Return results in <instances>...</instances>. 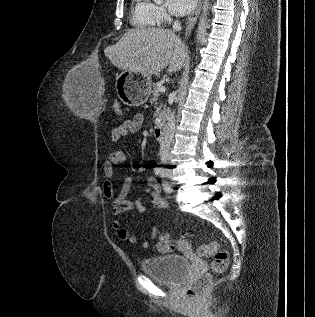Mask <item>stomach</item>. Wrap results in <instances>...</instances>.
<instances>
[{
    "instance_id": "obj_1",
    "label": "stomach",
    "mask_w": 315,
    "mask_h": 317,
    "mask_svg": "<svg viewBox=\"0 0 315 317\" xmlns=\"http://www.w3.org/2000/svg\"><path fill=\"white\" fill-rule=\"evenodd\" d=\"M115 88L123 104L140 106L148 100L151 94L152 80L148 75L125 70L117 76Z\"/></svg>"
}]
</instances>
